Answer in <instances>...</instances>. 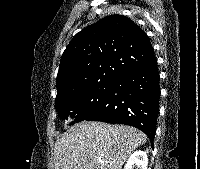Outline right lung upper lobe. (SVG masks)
<instances>
[{
	"instance_id": "cb5924a9",
	"label": "right lung upper lobe",
	"mask_w": 200,
	"mask_h": 169,
	"mask_svg": "<svg viewBox=\"0 0 200 169\" xmlns=\"http://www.w3.org/2000/svg\"><path fill=\"white\" fill-rule=\"evenodd\" d=\"M154 62L151 42L137 24L122 15L104 17L77 33L63 52L56 100Z\"/></svg>"
}]
</instances>
